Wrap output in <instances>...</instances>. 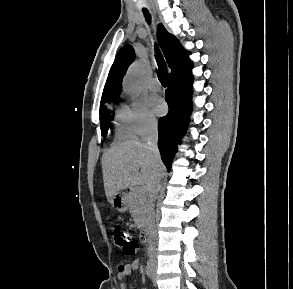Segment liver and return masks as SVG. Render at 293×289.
Here are the masks:
<instances>
[{
  "label": "liver",
  "mask_w": 293,
  "mask_h": 289,
  "mask_svg": "<svg viewBox=\"0 0 293 289\" xmlns=\"http://www.w3.org/2000/svg\"><path fill=\"white\" fill-rule=\"evenodd\" d=\"M162 164L156 167L146 144L137 140L119 143L102 156L105 195L108 201L120 190L139 186L148 194L157 172L163 174Z\"/></svg>",
  "instance_id": "1"
}]
</instances>
